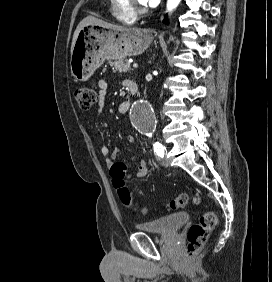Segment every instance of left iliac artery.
Wrapping results in <instances>:
<instances>
[{"label":"left iliac artery","mask_w":272,"mask_h":282,"mask_svg":"<svg viewBox=\"0 0 272 282\" xmlns=\"http://www.w3.org/2000/svg\"><path fill=\"white\" fill-rule=\"evenodd\" d=\"M154 151L156 152V154L159 157L163 158L164 157V153H165V147L162 144H160L159 142H156L154 144Z\"/></svg>","instance_id":"44dca946"}]
</instances>
